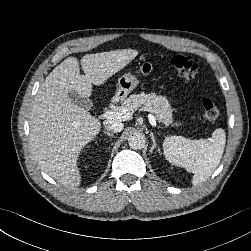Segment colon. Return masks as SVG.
<instances>
[{
    "instance_id": "5ec220e1",
    "label": "colon",
    "mask_w": 251,
    "mask_h": 251,
    "mask_svg": "<svg viewBox=\"0 0 251 251\" xmlns=\"http://www.w3.org/2000/svg\"><path fill=\"white\" fill-rule=\"evenodd\" d=\"M170 65L187 79H195L200 73L199 65L189 56L175 55L170 59ZM202 107L206 120L213 121L219 117L220 111L210 99H203Z\"/></svg>"
}]
</instances>
